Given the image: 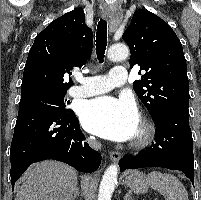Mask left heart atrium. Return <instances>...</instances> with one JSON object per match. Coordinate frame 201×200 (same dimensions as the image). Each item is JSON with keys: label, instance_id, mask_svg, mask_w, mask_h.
Masks as SVG:
<instances>
[{"label": "left heart atrium", "instance_id": "left-heart-atrium-1", "mask_svg": "<svg viewBox=\"0 0 201 200\" xmlns=\"http://www.w3.org/2000/svg\"><path fill=\"white\" fill-rule=\"evenodd\" d=\"M80 118L87 131L105 139L124 142L135 138L140 117L132 100L101 96L84 103Z\"/></svg>", "mask_w": 201, "mask_h": 200}]
</instances>
